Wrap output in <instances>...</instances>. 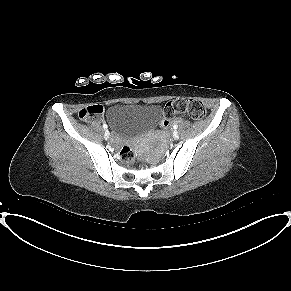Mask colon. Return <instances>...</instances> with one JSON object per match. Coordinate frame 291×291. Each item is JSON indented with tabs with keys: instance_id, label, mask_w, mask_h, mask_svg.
Instances as JSON below:
<instances>
[{
	"instance_id": "1",
	"label": "colon",
	"mask_w": 291,
	"mask_h": 291,
	"mask_svg": "<svg viewBox=\"0 0 291 291\" xmlns=\"http://www.w3.org/2000/svg\"><path fill=\"white\" fill-rule=\"evenodd\" d=\"M176 114H186L193 119H201L205 116L203 103L195 99L180 98L169 101L164 109L161 127L167 128L169 120ZM79 118L82 120H100L103 117V108L100 105H90L79 111ZM121 159L131 163L134 159V152L129 146H123L120 152Z\"/></svg>"
}]
</instances>
